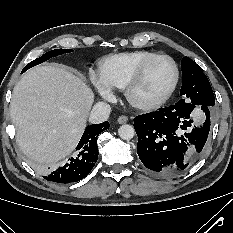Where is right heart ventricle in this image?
<instances>
[{"instance_id": "1", "label": "right heart ventricle", "mask_w": 233, "mask_h": 233, "mask_svg": "<svg viewBox=\"0 0 233 233\" xmlns=\"http://www.w3.org/2000/svg\"><path fill=\"white\" fill-rule=\"evenodd\" d=\"M157 53L136 50L107 56L100 65V74L111 89H123L137 67Z\"/></svg>"}]
</instances>
